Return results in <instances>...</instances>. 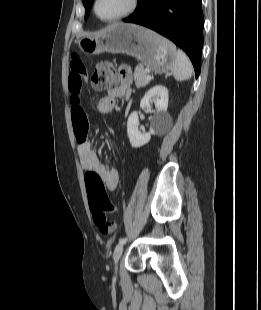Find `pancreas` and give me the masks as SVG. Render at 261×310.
<instances>
[{
  "label": "pancreas",
  "instance_id": "1",
  "mask_svg": "<svg viewBox=\"0 0 261 310\" xmlns=\"http://www.w3.org/2000/svg\"><path fill=\"white\" fill-rule=\"evenodd\" d=\"M146 76H147V72L144 70L142 66H138L135 69L134 80L138 88L145 87L149 83V80L146 79Z\"/></svg>",
  "mask_w": 261,
  "mask_h": 310
}]
</instances>
